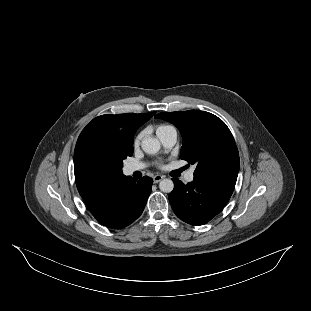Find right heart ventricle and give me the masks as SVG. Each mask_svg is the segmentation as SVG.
I'll return each mask as SVG.
<instances>
[{
    "label": "right heart ventricle",
    "instance_id": "obj_1",
    "mask_svg": "<svg viewBox=\"0 0 311 311\" xmlns=\"http://www.w3.org/2000/svg\"><path fill=\"white\" fill-rule=\"evenodd\" d=\"M168 129H174L176 130L172 125H168V124H161V125H158L156 127V133L157 135H159V133L163 132V131H166Z\"/></svg>",
    "mask_w": 311,
    "mask_h": 311
}]
</instances>
